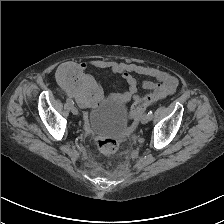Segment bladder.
<instances>
[{
	"mask_svg": "<svg viewBox=\"0 0 224 224\" xmlns=\"http://www.w3.org/2000/svg\"><path fill=\"white\" fill-rule=\"evenodd\" d=\"M88 121L97 134L122 136L126 131V105L116 98H106L90 111Z\"/></svg>",
	"mask_w": 224,
	"mask_h": 224,
	"instance_id": "obj_1",
	"label": "bladder"
}]
</instances>
